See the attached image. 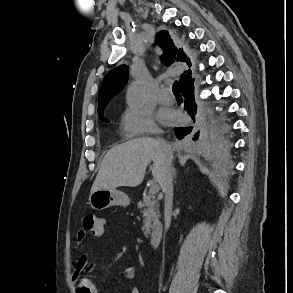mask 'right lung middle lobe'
Returning <instances> with one entry per match:
<instances>
[{
    "mask_svg": "<svg viewBox=\"0 0 293 293\" xmlns=\"http://www.w3.org/2000/svg\"><path fill=\"white\" fill-rule=\"evenodd\" d=\"M101 119H103L104 121H109V120H107L106 118H103V116H99Z\"/></svg>",
    "mask_w": 293,
    "mask_h": 293,
    "instance_id": "dd1d6c3e",
    "label": "right lung middle lobe"
}]
</instances>
